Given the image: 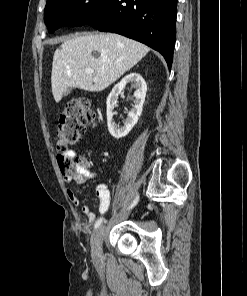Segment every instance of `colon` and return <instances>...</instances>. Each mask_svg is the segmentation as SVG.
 <instances>
[{
  "label": "colon",
  "instance_id": "colon-1",
  "mask_svg": "<svg viewBox=\"0 0 247 296\" xmlns=\"http://www.w3.org/2000/svg\"><path fill=\"white\" fill-rule=\"evenodd\" d=\"M97 117L88 99L79 98L69 101L60 115L57 125L58 163L62 173L83 181L88 167L86 158L69 157L67 149L76 145L88 125H96Z\"/></svg>",
  "mask_w": 247,
  "mask_h": 296
}]
</instances>
